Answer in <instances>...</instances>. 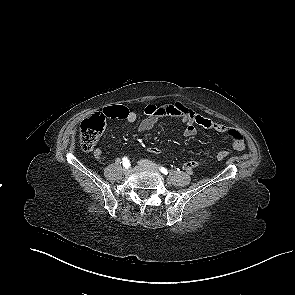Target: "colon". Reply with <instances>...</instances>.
Here are the masks:
<instances>
[{
    "instance_id": "1",
    "label": "colon",
    "mask_w": 295,
    "mask_h": 295,
    "mask_svg": "<svg viewBox=\"0 0 295 295\" xmlns=\"http://www.w3.org/2000/svg\"><path fill=\"white\" fill-rule=\"evenodd\" d=\"M105 121L104 116L101 114H95L90 118L85 119L80 126V144L83 150L91 151L95 146L100 134L104 129ZM231 139L235 140L240 144L242 141V136L237 132H232L230 135ZM239 145V150L240 149ZM150 154L158 155L159 149L150 148ZM229 155L226 151H221L217 154V158L222 160L225 159Z\"/></svg>"
}]
</instances>
